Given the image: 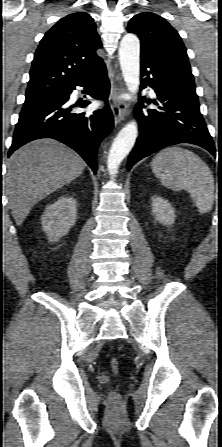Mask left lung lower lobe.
<instances>
[{
  "mask_svg": "<svg viewBox=\"0 0 222 447\" xmlns=\"http://www.w3.org/2000/svg\"><path fill=\"white\" fill-rule=\"evenodd\" d=\"M155 90L157 98L148 103L157 109L135 111L140 135L128 158V170L142 158L170 145L191 143L203 147L213 156L216 149L202 114L195 86L185 82L168 68L141 56V76ZM145 101V97H141Z\"/></svg>",
  "mask_w": 222,
  "mask_h": 447,
  "instance_id": "left-lung-lower-lobe-1",
  "label": "left lung lower lobe"
}]
</instances>
